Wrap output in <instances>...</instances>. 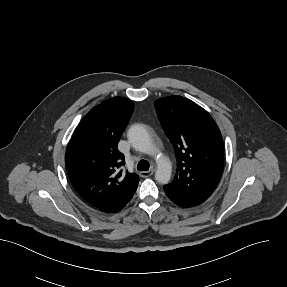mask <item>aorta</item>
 Instances as JSON below:
<instances>
[{
    "mask_svg": "<svg viewBox=\"0 0 287 287\" xmlns=\"http://www.w3.org/2000/svg\"><path fill=\"white\" fill-rule=\"evenodd\" d=\"M128 140L136 150L152 155L155 153L152 140L145 127L141 124H134L128 130ZM172 167L167 159L157 160L155 179L161 184H167L171 178Z\"/></svg>",
    "mask_w": 287,
    "mask_h": 287,
    "instance_id": "1",
    "label": "aorta"
}]
</instances>
